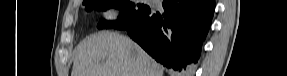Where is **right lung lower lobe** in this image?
I'll list each match as a JSON object with an SVG mask.
<instances>
[{
    "label": "right lung lower lobe",
    "instance_id": "right-lung-lower-lobe-1",
    "mask_svg": "<svg viewBox=\"0 0 287 76\" xmlns=\"http://www.w3.org/2000/svg\"><path fill=\"white\" fill-rule=\"evenodd\" d=\"M161 15L151 9L125 29L156 61L182 75L196 64L215 10V0H164Z\"/></svg>",
    "mask_w": 287,
    "mask_h": 76
}]
</instances>
